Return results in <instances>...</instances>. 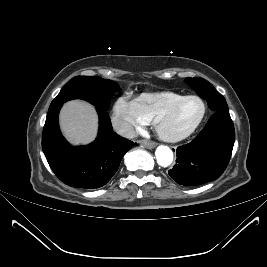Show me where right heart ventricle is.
<instances>
[{
	"label": "right heart ventricle",
	"mask_w": 267,
	"mask_h": 267,
	"mask_svg": "<svg viewBox=\"0 0 267 267\" xmlns=\"http://www.w3.org/2000/svg\"><path fill=\"white\" fill-rule=\"evenodd\" d=\"M185 95L176 92L144 93L137 98L140 110L147 120L154 121L156 116L184 98Z\"/></svg>",
	"instance_id": "right-heart-ventricle-1"
}]
</instances>
